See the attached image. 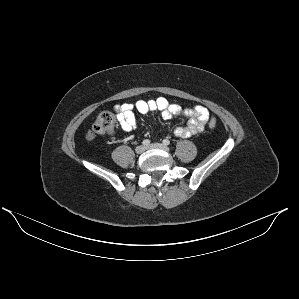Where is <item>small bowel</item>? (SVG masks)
<instances>
[{
  "mask_svg": "<svg viewBox=\"0 0 299 299\" xmlns=\"http://www.w3.org/2000/svg\"><path fill=\"white\" fill-rule=\"evenodd\" d=\"M119 126L129 131L136 126L135 111L141 114L149 112H160L164 119L173 116H185L188 122L185 126L177 127L174 134L181 138H188L201 132L209 120V112L202 106L182 107L170 103L165 97H158L150 100H137L134 103H122L115 106Z\"/></svg>",
  "mask_w": 299,
  "mask_h": 299,
  "instance_id": "small-bowel-1",
  "label": "small bowel"
}]
</instances>
